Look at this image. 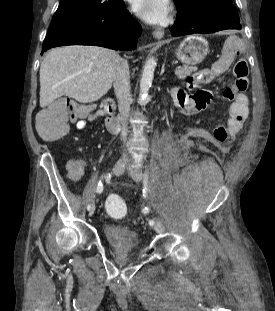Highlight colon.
Here are the masks:
<instances>
[{
  "mask_svg": "<svg viewBox=\"0 0 275 311\" xmlns=\"http://www.w3.org/2000/svg\"><path fill=\"white\" fill-rule=\"evenodd\" d=\"M233 72L235 81L233 85L227 87L223 92V96L227 100L233 99L236 92L246 91L248 87L249 70L244 58H239L235 62ZM73 115L76 116V107L73 102L64 99L55 102L46 111L38 114L37 128L39 134L48 140L64 136L66 134L67 124ZM106 209L114 217L121 216L126 211L123 200L117 196H110L107 199Z\"/></svg>",
  "mask_w": 275,
  "mask_h": 311,
  "instance_id": "1",
  "label": "colon"
}]
</instances>
